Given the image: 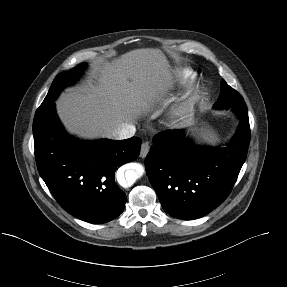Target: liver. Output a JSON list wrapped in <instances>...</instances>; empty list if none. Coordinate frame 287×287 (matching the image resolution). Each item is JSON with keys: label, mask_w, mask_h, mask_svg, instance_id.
Returning <instances> with one entry per match:
<instances>
[{"label": "liver", "mask_w": 287, "mask_h": 287, "mask_svg": "<svg viewBox=\"0 0 287 287\" xmlns=\"http://www.w3.org/2000/svg\"><path fill=\"white\" fill-rule=\"evenodd\" d=\"M93 79L71 88L56 101L60 120L71 134L84 139L111 138L114 129L133 124L148 103L160 99L172 86V70L159 49H136L113 62L92 63ZM173 127L191 124L183 110ZM181 120L180 123H177Z\"/></svg>", "instance_id": "liver-1"}]
</instances>
